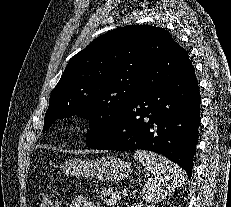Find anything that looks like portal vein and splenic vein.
<instances>
[{"label": "portal vein and splenic vein", "mask_w": 231, "mask_h": 207, "mask_svg": "<svg viewBox=\"0 0 231 207\" xmlns=\"http://www.w3.org/2000/svg\"><path fill=\"white\" fill-rule=\"evenodd\" d=\"M122 195H123V196H127V195H128V191H127L126 189H124V190L122 191Z\"/></svg>", "instance_id": "portal-vein-and-splenic-vein-1"}]
</instances>
